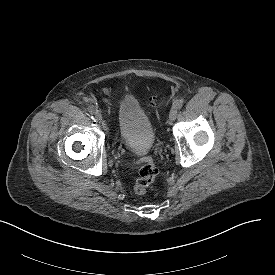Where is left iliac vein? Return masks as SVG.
Here are the masks:
<instances>
[{
    "label": "left iliac vein",
    "mask_w": 275,
    "mask_h": 275,
    "mask_svg": "<svg viewBox=\"0 0 275 275\" xmlns=\"http://www.w3.org/2000/svg\"><path fill=\"white\" fill-rule=\"evenodd\" d=\"M177 115H178V111L175 107H173L169 113V121L173 122L176 119Z\"/></svg>",
    "instance_id": "left-iliac-vein-1"
}]
</instances>
